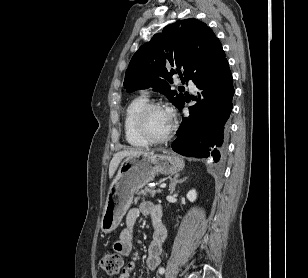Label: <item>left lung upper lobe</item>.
<instances>
[{
    "instance_id": "left-lung-upper-lobe-1",
    "label": "left lung upper lobe",
    "mask_w": 308,
    "mask_h": 278,
    "mask_svg": "<svg viewBox=\"0 0 308 278\" xmlns=\"http://www.w3.org/2000/svg\"><path fill=\"white\" fill-rule=\"evenodd\" d=\"M224 59L219 39L205 23L194 18L178 20L136 51L126 71L124 88L133 92L153 87L179 108L185 99L183 94L170 90L172 76L178 73L183 81L195 82Z\"/></svg>"
}]
</instances>
